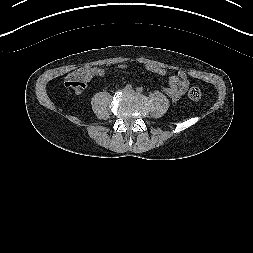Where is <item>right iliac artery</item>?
<instances>
[{
    "label": "right iliac artery",
    "instance_id": "1",
    "mask_svg": "<svg viewBox=\"0 0 253 253\" xmlns=\"http://www.w3.org/2000/svg\"><path fill=\"white\" fill-rule=\"evenodd\" d=\"M125 88H126L127 90H130V89H132V85L128 84V85H126Z\"/></svg>",
    "mask_w": 253,
    "mask_h": 253
}]
</instances>
